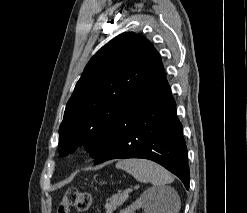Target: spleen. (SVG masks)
Returning a JSON list of instances; mask_svg holds the SVG:
<instances>
[{
	"label": "spleen",
	"mask_w": 247,
	"mask_h": 213,
	"mask_svg": "<svg viewBox=\"0 0 247 213\" xmlns=\"http://www.w3.org/2000/svg\"><path fill=\"white\" fill-rule=\"evenodd\" d=\"M116 168L128 172L140 182H150L154 186H164L174 180L170 172L162 166L149 160L136 158L124 159L120 160L116 164ZM171 204L175 205V213H177L180 208L179 199L177 196L173 197ZM161 210L160 212H162Z\"/></svg>",
	"instance_id": "obj_1"
}]
</instances>
